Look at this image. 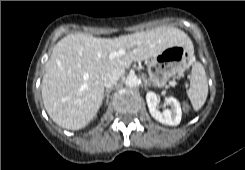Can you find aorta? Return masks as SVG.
<instances>
[{
  "label": "aorta",
  "mask_w": 245,
  "mask_h": 170,
  "mask_svg": "<svg viewBox=\"0 0 245 170\" xmlns=\"http://www.w3.org/2000/svg\"><path fill=\"white\" fill-rule=\"evenodd\" d=\"M138 82V77L134 74L127 76L125 79V83L129 87H136L138 85Z\"/></svg>",
  "instance_id": "762f6f07"
}]
</instances>
